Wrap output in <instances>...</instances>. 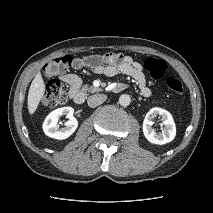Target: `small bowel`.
<instances>
[{
	"label": "small bowel",
	"instance_id": "obj_1",
	"mask_svg": "<svg viewBox=\"0 0 213 213\" xmlns=\"http://www.w3.org/2000/svg\"><path fill=\"white\" fill-rule=\"evenodd\" d=\"M72 68L79 70L90 68L96 74L113 77L124 74L135 80L143 97L151 96L142 65L131 57L120 53L110 52L104 55H87L72 59ZM61 80L69 87L71 97L78 92L82 85V79L75 73H65Z\"/></svg>",
	"mask_w": 213,
	"mask_h": 213
}]
</instances>
